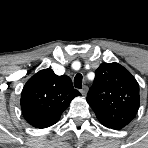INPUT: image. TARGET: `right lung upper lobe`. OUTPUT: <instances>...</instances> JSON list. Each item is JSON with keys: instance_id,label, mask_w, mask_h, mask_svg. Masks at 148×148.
I'll return each instance as SVG.
<instances>
[{"instance_id": "cb5924a9", "label": "right lung upper lobe", "mask_w": 148, "mask_h": 148, "mask_svg": "<svg viewBox=\"0 0 148 148\" xmlns=\"http://www.w3.org/2000/svg\"><path fill=\"white\" fill-rule=\"evenodd\" d=\"M80 95L68 76L44 69L25 84L20 101L22 113L33 127L47 128L57 123L71 100Z\"/></svg>"}]
</instances>
